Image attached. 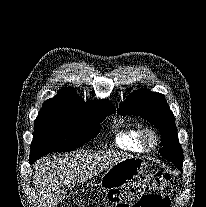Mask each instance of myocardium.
I'll use <instances>...</instances> for the list:
<instances>
[{
    "label": "myocardium",
    "mask_w": 206,
    "mask_h": 207,
    "mask_svg": "<svg viewBox=\"0 0 206 207\" xmlns=\"http://www.w3.org/2000/svg\"><path fill=\"white\" fill-rule=\"evenodd\" d=\"M140 141L145 150H154L159 142H160V137L158 132L151 128V127H145L141 129L140 132Z\"/></svg>",
    "instance_id": "obj_1"
}]
</instances>
